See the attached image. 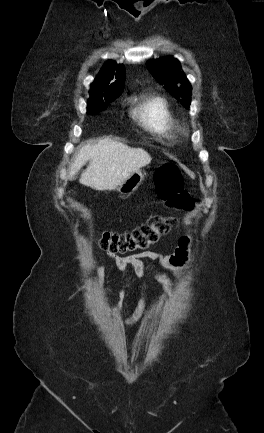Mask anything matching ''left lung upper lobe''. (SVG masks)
<instances>
[{
  "mask_svg": "<svg viewBox=\"0 0 264 433\" xmlns=\"http://www.w3.org/2000/svg\"><path fill=\"white\" fill-rule=\"evenodd\" d=\"M146 65L158 83L163 85L185 107H190L192 88L184 72L181 71V65L177 59L171 56L162 57L150 60Z\"/></svg>",
  "mask_w": 264,
  "mask_h": 433,
  "instance_id": "left-lung-upper-lobe-1",
  "label": "left lung upper lobe"
}]
</instances>
